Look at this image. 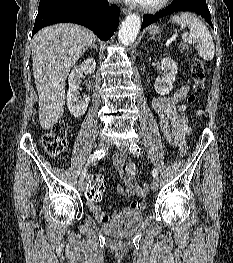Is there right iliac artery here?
Segmentation results:
<instances>
[{
  "label": "right iliac artery",
  "mask_w": 233,
  "mask_h": 263,
  "mask_svg": "<svg viewBox=\"0 0 233 263\" xmlns=\"http://www.w3.org/2000/svg\"><path fill=\"white\" fill-rule=\"evenodd\" d=\"M106 154H107V151L103 150V149L97 150L96 152L92 153L87 160L86 166L84 167V169L81 172L80 179L84 180V178L86 177L87 165H89L90 163H92L95 160H99V159L103 158Z\"/></svg>",
  "instance_id": "82829eb1"
}]
</instances>
